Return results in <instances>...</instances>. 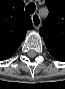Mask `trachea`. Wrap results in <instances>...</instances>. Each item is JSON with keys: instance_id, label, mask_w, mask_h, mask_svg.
<instances>
[{"instance_id": "trachea-1", "label": "trachea", "mask_w": 65, "mask_h": 89, "mask_svg": "<svg viewBox=\"0 0 65 89\" xmlns=\"http://www.w3.org/2000/svg\"><path fill=\"white\" fill-rule=\"evenodd\" d=\"M35 9H36V5L31 2L25 7V12L27 14H33L35 12Z\"/></svg>"}]
</instances>
